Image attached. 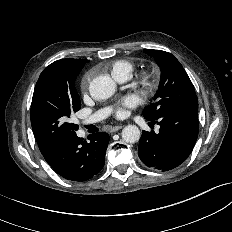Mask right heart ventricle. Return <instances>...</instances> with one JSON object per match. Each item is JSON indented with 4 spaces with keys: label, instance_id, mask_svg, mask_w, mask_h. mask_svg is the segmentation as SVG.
<instances>
[{
    "label": "right heart ventricle",
    "instance_id": "obj_1",
    "mask_svg": "<svg viewBox=\"0 0 232 232\" xmlns=\"http://www.w3.org/2000/svg\"><path fill=\"white\" fill-rule=\"evenodd\" d=\"M134 70V63L128 59H118L110 65V71L115 79L130 77Z\"/></svg>",
    "mask_w": 232,
    "mask_h": 232
}]
</instances>
